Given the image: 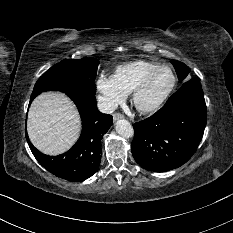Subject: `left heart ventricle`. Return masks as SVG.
Segmentation results:
<instances>
[{"mask_svg": "<svg viewBox=\"0 0 233 233\" xmlns=\"http://www.w3.org/2000/svg\"><path fill=\"white\" fill-rule=\"evenodd\" d=\"M170 82L171 73L166 69L159 71L140 96V104L147 106L156 102L165 92Z\"/></svg>", "mask_w": 233, "mask_h": 233, "instance_id": "left-heart-ventricle-1", "label": "left heart ventricle"}]
</instances>
